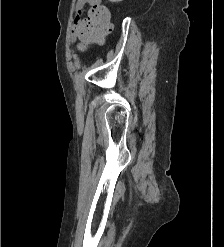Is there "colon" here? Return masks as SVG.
Wrapping results in <instances>:
<instances>
[{
  "label": "colon",
  "instance_id": "1",
  "mask_svg": "<svg viewBox=\"0 0 224 247\" xmlns=\"http://www.w3.org/2000/svg\"><path fill=\"white\" fill-rule=\"evenodd\" d=\"M111 29L110 12L103 6L98 5L90 9L80 30V40L85 44L95 43Z\"/></svg>",
  "mask_w": 224,
  "mask_h": 247
}]
</instances>
